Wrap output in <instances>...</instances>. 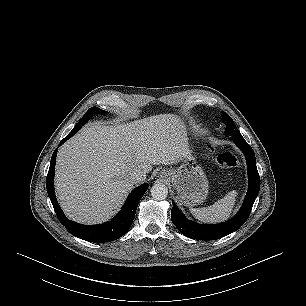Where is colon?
Listing matches in <instances>:
<instances>
[{"mask_svg": "<svg viewBox=\"0 0 306 306\" xmlns=\"http://www.w3.org/2000/svg\"><path fill=\"white\" fill-rule=\"evenodd\" d=\"M209 154L212 156L217 165L221 167H236L240 164V159L231 150H223L215 153L212 147L208 148Z\"/></svg>", "mask_w": 306, "mask_h": 306, "instance_id": "colon-1", "label": "colon"}]
</instances>
